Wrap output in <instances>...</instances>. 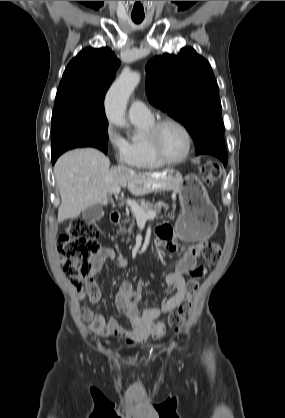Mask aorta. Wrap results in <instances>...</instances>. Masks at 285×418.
I'll return each instance as SVG.
<instances>
[{
  "instance_id": "obj_1",
  "label": "aorta",
  "mask_w": 285,
  "mask_h": 418,
  "mask_svg": "<svg viewBox=\"0 0 285 418\" xmlns=\"http://www.w3.org/2000/svg\"><path fill=\"white\" fill-rule=\"evenodd\" d=\"M139 82L138 72L125 69L110 87L105 98V109L112 125L120 128L129 127L125 119L127 101Z\"/></svg>"
}]
</instances>
